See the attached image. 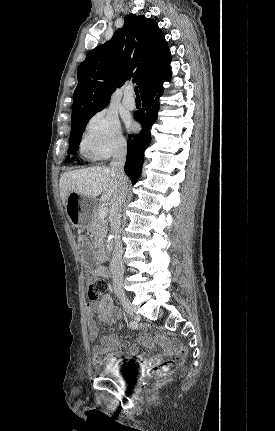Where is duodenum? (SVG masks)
<instances>
[{
	"mask_svg": "<svg viewBox=\"0 0 275 431\" xmlns=\"http://www.w3.org/2000/svg\"><path fill=\"white\" fill-rule=\"evenodd\" d=\"M96 259L98 262H104L107 259L106 253L102 248L96 250Z\"/></svg>",
	"mask_w": 275,
	"mask_h": 431,
	"instance_id": "obj_1",
	"label": "duodenum"
}]
</instances>
